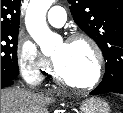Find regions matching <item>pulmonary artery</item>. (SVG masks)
<instances>
[{
    "label": "pulmonary artery",
    "instance_id": "obj_1",
    "mask_svg": "<svg viewBox=\"0 0 123 113\" xmlns=\"http://www.w3.org/2000/svg\"><path fill=\"white\" fill-rule=\"evenodd\" d=\"M66 19V12L62 7L53 6L49 9L47 14V20L51 25L55 27H61L66 22Z\"/></svg>",
    "mask_w": 123,
    "mask_h": 113
}]
</instances>
